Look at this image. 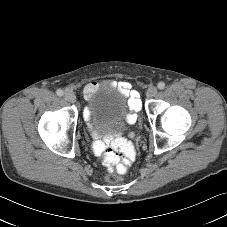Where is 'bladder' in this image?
I'll list each match as a JSON object with an SVG mask.
<instances>
[{"mask_svg":"<svg viewBox=\"0 0 227 227\" xmlns=\"http://www.w3.org/2000/svg\"><path fill=\"white\" fill-rule=\"evenodd\" d=\"M116 94L120 98V105L122 108L120 113L115 114H106L103 112V109L107 104V96L104 90L100 89L94 92L88 99L91 122L102 134H116L121 132L127 125V118L129 115L127 99L120 93Z\"/></svg>","mask_w":227,"mask_h":227,"instance_id":"obj_1","label":"bladder"}]
</instances>
